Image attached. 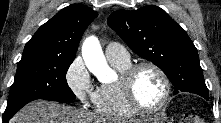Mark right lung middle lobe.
<instances>
[{
    "instance_id": "obj_1",
    "label": "right lung middle lobe",
    "mask_w": 221,
    "mask_h": 123,
    "mask_svg": "<svg viewBox=\"0 0 221 123\" xmlns=\"http://www.w3.org/2000/svg\"><path fill=\"white\" fill-rule=\"evenodd\" d=\"M74 56L22 55L4 116H13L27 103L37 100H73L66 81Z\"/></svg>"
}]
</instances>
